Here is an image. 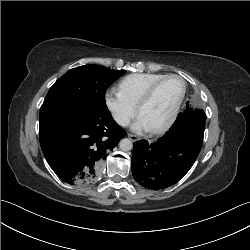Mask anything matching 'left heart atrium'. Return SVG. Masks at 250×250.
I'll use <instances>...</instances> for the list:
<instances>
[{"mask_svg":"<svg viewBox=\"0 0 250 250\" xmlns=\"http://www.w3.org/2000/svg\"><path fill=\"white\" fill-rule=\"evenodd\" d=\"M133 129L135 131L149 130L147 124L145 123V121L141 117H139V119L135 122V124L133 125Z\"/></svg>","mask_w":250,"mask_h":250,"instance_id":"left-heart-atrium-1","label":"left heart atrium"}]
</instances>
